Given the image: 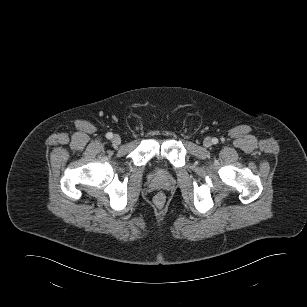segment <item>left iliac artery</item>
<instances>
[{
  "instance_id": "obj_1",
  "label": "left iliac artery",
  "mask_w": 307,
  "mask_h": 307,
  "mask_svg": "<svg viewBox=\"0 0 307 307\" xmlns=\"http://www.w3.org/2000/svg\"><path fill=\"white\" fill-rule=\"evenodd\" d=\"M212 142H213V144H216L218 142V140L217 139H213Z\"/></svg>"
}]
</instances>
